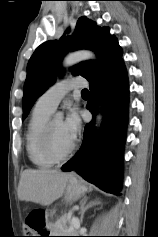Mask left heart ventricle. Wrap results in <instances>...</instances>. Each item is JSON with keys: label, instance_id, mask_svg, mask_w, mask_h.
Listing matches in <instances>:
<instances>
[{"label": "left heart ventricle", "instance_id": "obj_1", "mask_svg": "<svg viewBox=\"0 0 158 237\" xmlns=\"http://www.w3.org/2000/svg\"><path fill=\"white\" fill-rule=\"evenodd\" d=\"M51 142L54 151L58 155L66 153L72 146V141L65 135L62 127V121L54 120L51 129Z\"/></svg>", "mask_w": 158, "mask_h": 237}]
</instances>
